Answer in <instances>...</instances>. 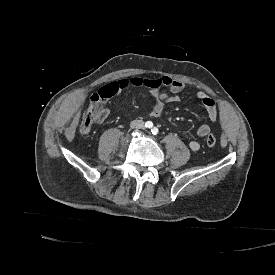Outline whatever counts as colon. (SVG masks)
Returning a JSON list of instances; mask_svg holds the SVG:
<instances>
[{"mask_svg": "<svg viewBox=\"0 0 275 275\" xmlns=\"http://www.w3.org/2000/svg\"><path fill=\"white\" fill-rule=\"evenodd\" d=\"M107 115V108L102 104L96 101L95 98L92 99V103L84 113L81 123L80 129L83 132H89L92 127V123L97 120H102ZM208 146L213 147L216 143V138L212 135L208 136L206 139Z\"/></svg>", "mask_w": 275, "mask_h": 275, "instance_id": "obj_1", "label": "colon"}]
</instances>
